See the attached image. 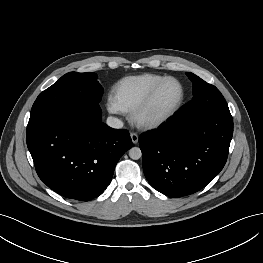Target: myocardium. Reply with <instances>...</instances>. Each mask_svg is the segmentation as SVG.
<instances>
[{
	"label": "myocardium",
	"mask_w": 263,
	"mask_h": 263,
	"mask_svg": "<svg viewBox=\"0 0 263 263\" xmlns=\"http://www.w3.org/2000/svg\"><path fill=\"white\" fill-rule=\"evenodd\" d=\"M169 80L176 81L181 87V97L178 103L170 111L164 114H160L152 117H146L145 115L149 110L151 104L153 103L156 94L158 93L160 88L164 85V83ZM185 98H186V88L183 82L174 76H166L153 86V88L149 91L145 99L131 112V120L139 128L154 129L156 127H159L160 125L170 120L180 110V108L182 107L185 101Z\"/></svg>",
	"instance_id": "1"
}]
</instances>
